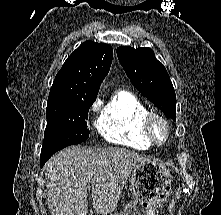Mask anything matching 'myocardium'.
<instances>
[{
    "label": "myocardium",
    "mask_w": 221,
    "mask_h": 215,
    "mask_svg": "<svg viewBox=\"0 0 221 215\" xmlns=\"http://www.w3.org/2000/svg\"><path fill=\"white\" fill-rule=\"evenodd\" d=\"M158 125L162 126L164 129V135L162 138H159L156 133V126ZM144 131L152 144L162 146L169 139L170 125L162 115L155 112H149L144 119Z\"/></svg>",
    "instance_id": "obj_1"
}]
</instances>
